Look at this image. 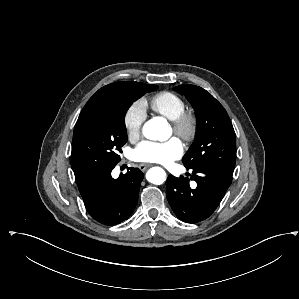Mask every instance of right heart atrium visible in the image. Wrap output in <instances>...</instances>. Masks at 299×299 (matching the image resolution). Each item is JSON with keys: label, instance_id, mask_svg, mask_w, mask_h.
Returning <instances> with one entry per match:
<instances>
[{"label": "right heart atrium", "instance_id": "d8ad5b80", "mask_svg": "<svg viewBox=\"0 0 299 299\" xmlns=\"http://www.w3.org/2000/svg\"><path fill=\"white\" fill-rule=\"evenodd\" d=\"M146 118L145 104L142 100L132 102L123 116V124L129 139L139 136L142 124Z\"/></svg>", "mask_w": 299, "mask_h": 299}]
</instances>
